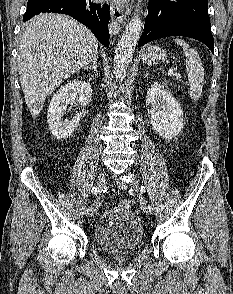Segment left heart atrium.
I'll return each mask as SVG.
<instances>
[{"instance_id": "left-heart-atrium-1", "label": "left heart atrium", "mask_w": 233, "mask_h": 294, "mask_svg": "<svg viewBox=\"0 0 233 294\" xmlns=\"http://www.w3.org/2000/svg\"><path fill=\"white\" fill-rule=\"evenodd\" d=\"M113 1H116V2H123V1H126V0H113Z\"/></svg>"}]
</instances>
